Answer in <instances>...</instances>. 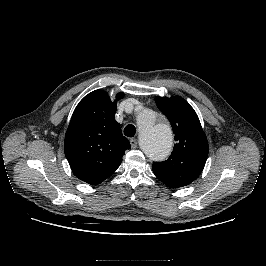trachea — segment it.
Returning a JSON list of instances; mask_svg holds the SVG:
<instances>
[{
  "mask_svg": "<svg viewBox=\"0 0 266 266\" xmlns=\"http://www.w3.org/2000/svg\"><path fill=\"white\" fill-rule=\"evenodd\" d=\"M136 133V128L134 125L132 124H129L125 127L124 129V134L127 136V137H134Z\"/></svg>",
  "mask_w": 266,
  "mask_h": 266,
  "instance_id": "trachea-1",
  "label": "trachea"
}]
</instances>
